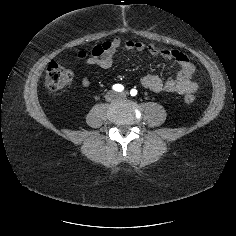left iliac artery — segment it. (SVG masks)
Returning a JSON list of instances; mask_svg holds the SVG:
<instances>
[{
    "label": "left iliac artery",
    "mask_w": 236,
    "mask_h": 236,
    "mask_svg": "<svg viewBox=\"0 0 236 236\" xmlns=\"http://www.w3.org/2000/svg\"><path fill=\"white\" fill-rule=\"evenodd\" d=\"M130 95L131 96H136L137 95V90L136 89H131Z\"/></svg>",
    "instance_id": "1"
}]
</instances>
